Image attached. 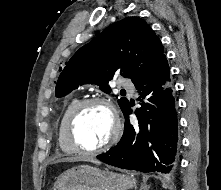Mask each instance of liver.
<instances>
[{
	"label": "liver",
	"mask_w": 221,
	"mask_h": 190,
	"mask_svg": "<svg viewBox=\"0 0 221 190\" xmlns=\"http://www.w3.org/2000/svg\"><path fill=\"white\" fill-rule=\"evenodd\" d=\"M78 161H89L95 164H100L99 161L94 159L93 157H88V156H74V157H66L62 158L56 161V163L59 162H78Z\"/></svg>",
	"instance_id": "obj_1"
}]
</instances>
